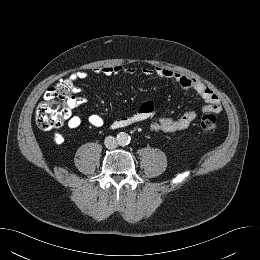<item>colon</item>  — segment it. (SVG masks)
I'll list each match as a JSON object with an SVG mask.
<instances>
[{
    "instance_id": "1",
    "label": "colon",
    "mask_w": 260,
    "mask_h": 260,
    "mask_svg": "<svg viewBox=\"0 0 260 260\" xmlns=\"http://www.w3.org/2000/svg\"><path fill=\"white\" fill-rule=\"evenodd\" d=\"M73 84L68 79L60 80L48 88L35 111V121L42 130L59 127L69 112V105L74 96ZM218 117L213 112L204 114L200 119V126L204 131L213 132L218 127Z\"/></svg>"
}]
</instances>
